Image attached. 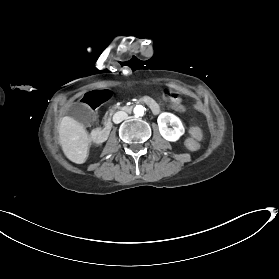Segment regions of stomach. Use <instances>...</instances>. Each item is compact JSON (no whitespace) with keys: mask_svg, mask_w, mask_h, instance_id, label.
<instances>
[{"mask_svg":"<svg viewBox=\"0 0 279 279\" xmlns=\"http://www.w3.org/2000/svg\"><path fill=\"white\" fill-rule=\"evenodd\" d=\"M165 105H168V102H165ZM176 107H182V104H176ZM183 109H187V106L183 105Z\"/></svg>","mask_w":279,"mask_h":279,"instance_id":"0dacf381","label":"stomach"}]
</instances>
